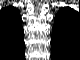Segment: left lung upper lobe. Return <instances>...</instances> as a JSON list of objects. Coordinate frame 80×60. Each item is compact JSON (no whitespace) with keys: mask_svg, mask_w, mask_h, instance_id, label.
<instances>
[{"mask_svg":"<svg viewBox=\"0 0 80 60\" xmlns=\"http://www.w3.org/2000/svg\"><path fill=\"white\" fill-rule=\"evenodd\" d=\"M75 16L76 12L69 7L60 9L55 17L52 32V50L56 49L55 37L57 38L58 43H60V45L62 46V49H67L71 46V41L73 40V37L71 36V30Z\"/></svg>","mask_w":80,"mask_h":60,"instance_id":"5c2ea615","label":"left lung upper lobe"}]
</instances>
